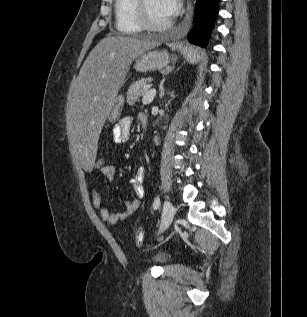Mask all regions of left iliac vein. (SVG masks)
<instances>
[{
  "label": "left iliac vein",
  "mask_w": 307,
  "mask_h": 317,
  "mask_svg": "<svg viewBox=\"0 0 307 317\" xmlns=\"http://www.w3.org/2000/svg\"><path fill=\"white\" fill-rule=\"evenodd\" d=\"M175 212L176 210L173 204L170 201L166 200L163 206V215L160 224V231H163L169 227V225L172 223L174 219Z\"/></svg>",
  "instance_id": "left-iliac-vein-1"
}]
</instances>
